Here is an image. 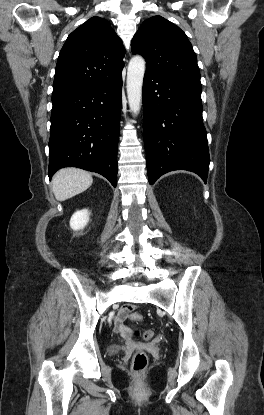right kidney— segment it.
I'll return each instance as SVG.
<instances>
[{"mask_svg":"<svg viewBox=\"0 0 264 415\" xmlns=\"http://www.w3.org/2000/svg\"><path fill=\"white\" fill-rule=\"evenodd\" d=\"M89 215L87 209L75 212L70 219V227L75 231L82 230L89 222Z\"/></svg>","mask_w":264,"mask_h":415,"instance_id":"1","label":"right kidney"}]
</instances>
